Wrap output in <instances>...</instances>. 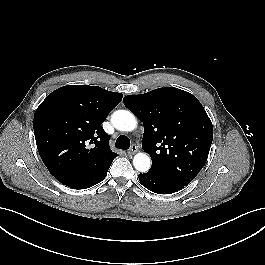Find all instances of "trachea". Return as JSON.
I'll list each match as a JSON object with an SVG mask.
<instances>
[{"instance_id":"obj_1","label":"trachea","mask_w":265,"mask_h":265,"mask_svg":"<svg viewBox=\"0 0 265 265\" xmlns=\"http://www.w3.org/2000/svg\"><path fill=\"white\" fill-rule=\"evenodd\" d=\"M116 147L122 150H127L130 147V140L128 137L121 135L116 140Z\"/></svg>"}]
</instances>
